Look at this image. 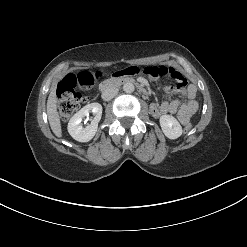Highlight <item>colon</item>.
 I'll return each instance as SVG.
<instances>
[{"mask_svg": "<svg viewBox=\"0 0 247 247\" xmlns=\"http://www.w3.org/2000/svg\"><path fill=\"white\" fill-rule=\"evenodd\" d=\"M95 76L91 73L77 72L69 73L59 83L57 88L58 111L62 120L69 119L76 110L87 99V93L94 84ZM192 130V125L188 122L184 125L186 133Z\"/></svg>", "mask_w": 247, "mask_h": 247, "instance_id": "colon-1", "label": "colon"}]
</instances>
